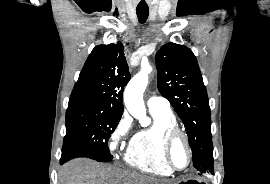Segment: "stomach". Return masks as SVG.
I'll list each match as a JSON object with an SVG mask.
<instances>
[{
	"label": "stomach",
	"instance_id": "1",
	"mask_svg": "<svg viewBox=\"0 0 270 184\" xmlns=\"http://www.w3.org/2000/svg\"><path fill=\"white\" fill-rule=\"evenodd\" d=\"M178 184H207L203 179L199 178H189L179 181Z\"/></svg>",
	"mask_w": 270,
	"mask_h": 184
}]
</instances>
